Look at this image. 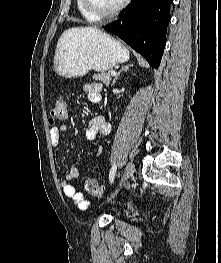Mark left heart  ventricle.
Here are the masks:
<instances>
[{"instance_id":"b2bd125f","label":"left heart ventricle","mask_w":221,"mask_h":263,"mask_svg":"<svg viewBox=\"0 0 221 263\" xmlns=\"http://www.w3.org/2000/svg\"><path fill=\"white\" fill-rule=\"evenodd\" d=\"M91 6L98 12H107L116 8L122 0H89Z\"/></svg>"}]
</instances>
